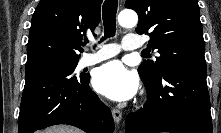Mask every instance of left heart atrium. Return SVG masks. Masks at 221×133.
<instances>
[{
	"mask_svg": "<svg viewBox=\"0 0 221 133\" xmlns=\"http://www.w3.org/2000/svg\"><path fill=\"white\" fill-rule=\"evenodd\" d=\"M92 85L97 92L116 101L132 98L138 89L135 75L119 60L98 67Z\"/></svg>",
	"mask_w": 221,
	"mask_h": 133,
	"instance_id": "obj_1",
	"label": "left heart atrium"
}]
</instances>
